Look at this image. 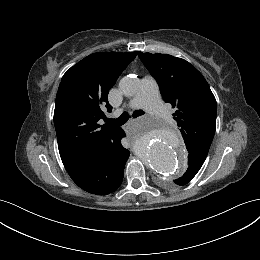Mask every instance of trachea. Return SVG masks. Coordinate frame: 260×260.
<instances>
[{
    "label": "trachea",
    "mask_w": 260,
    "mask_h": 260,
    "mask_svg": "<svg viewBox=\"0 0 260 260\" xmlns=\"http://www.w3.org/2000/svg\"><path fill=\"white\" fill-rule=\"evenodd\" d=\"M144 112L142 110H135L132 114V116L134 118L138 117V116H141L143 115ZM129 119V115L124 112L119 118L117 119H108L106 118L105 119V122H107L108 124L110 125H113V126H122L123 124H125Z\"/></svg>",
    "instance_id": "obj_1"
}]
</instances>
